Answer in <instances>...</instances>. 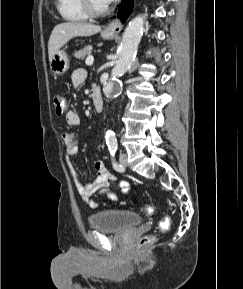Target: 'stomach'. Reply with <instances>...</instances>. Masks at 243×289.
Masks as SVG:
<instances>
[{
    "mask_svg": "<svg viewBox=\"0 0 243 289\" xmlns=\"http://www.w3.org/2000/svg\"><path fill=\"white\" fill-rule=\"evenodd\" d=\"M104 39H113L114 35L106 32L101 33ZM69 58L64 50H58L50 61V69L56 75L65 73L69 68Z\"/></svg>",
    "mask_w": 243,
    "mask_h": 289,
    "instance_id": "obj_1",
    "label": "stomach"
}]
</instances>
